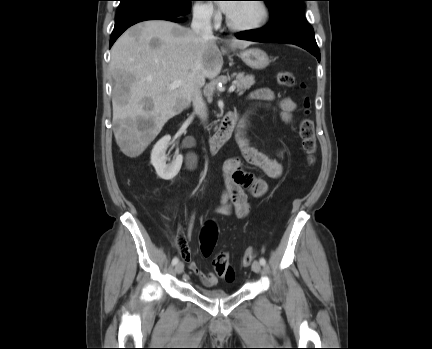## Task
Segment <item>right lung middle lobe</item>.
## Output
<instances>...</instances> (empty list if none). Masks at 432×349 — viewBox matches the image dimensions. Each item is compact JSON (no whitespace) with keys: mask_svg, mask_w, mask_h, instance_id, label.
<instances>
[{"mask_svg":"<svg viewBox=\"0 0 432 349\" xmlns=\"http://www.w3.org/2000/svg\"><path fill=\"white\" fill-rule=\"evenodd\" d=\"M191 1L192 0H120L119 11L132 6L147 3L167 6L177 11H185L190 9Z\"/></svg>","mask_w":432,"mask_h":349,"instance_id":"obj_1","label":"right lung middle lobe"}]
</instances>
